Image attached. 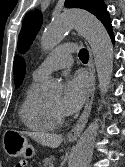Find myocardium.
Listing matches in <instances>:
<instances>
[{"label":"myocardium","mask_w":125,"mask_h":167,"mask_svg":"<svg viewBox=\"0 0 125 167\" xmlns=\"http://www.w3.org/2000/svg\"><path fill=\"white\" fill-rule=\"evenodd\" d=\"M46 106L47 109L49 111V113L51 114V116L53 117L54 121L56 124H62L64 121V116L63 114L60 112V110L54 109L53 107H51L47 102H46Z\"/></svg>","instance_id":"f54148a6"}]
</instances>
